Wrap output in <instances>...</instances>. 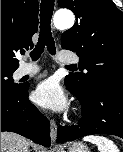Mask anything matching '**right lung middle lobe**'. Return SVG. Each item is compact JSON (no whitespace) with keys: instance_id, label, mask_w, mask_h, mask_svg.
Wrapping results in <instances>:
<instances>
[{"instance_id":"obj_1","label":"right lung middle lobe","mask_w":123,"mask_h":152,"mask_svg":"<svg viewBox=\"0 0 123 152\" xmlns=\"http://www.w3.org/2000/svg\"><path fill=\"white\" fill-rule=\"evenodd\" d=\"M16 69L1 68V90H11L21 87L14 83L12 74Z\"/></svg>"}]
</instances>
